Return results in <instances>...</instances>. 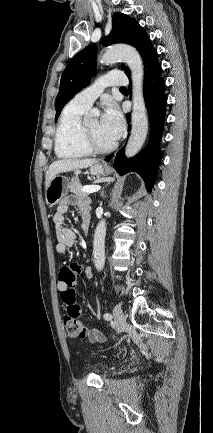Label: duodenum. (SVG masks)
I'll list each match as a JSON object with an SVG mask.
<instances>
[{
  "mask_svg": "<svg viewBox=\"0 0 213 433\" xmlns=\"http://www.w3.org/2000/svg\"><path fill=\"white\" fill-rule=\"evenodd\" d=\"M83 231H84L85 233H88V231H89V227H85Z\"/></svg>",
  "mask_w": 213,
  "mask_h": 433,
  "instance_id": "410a0bca",
  "label": "duodenum"
}]
</instances>
